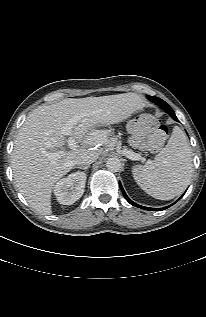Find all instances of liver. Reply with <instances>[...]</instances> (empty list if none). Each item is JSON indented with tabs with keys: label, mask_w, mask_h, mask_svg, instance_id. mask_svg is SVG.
<instances>
[{
	"label": "liver",
	"mask_w": 206,
	"mask_h": 317,
	"mask_svg": "<svg viewBox=\"0 0 206 317\" xmlns=\"http://www.w3.org/2000/svg\"><path fill=\"white\" fill-rule=\"evenodd\" d=\"M144 105L140 95L123 93L67 98L34 109L19 129L11 159L15 184L30 206L40 214L50 215L54 184L73 169L81 155L87 152L98 155L91 146L105 142L104 137L93 136L89 131L98 125L122 122ZM71 119H77L71 136L85 145L64 152L61 158L50 160L48 154L65 145L67 139L61 134V127Z\"/></svg>",
	"instance_id": "6515ba94"
}]
</instances>
